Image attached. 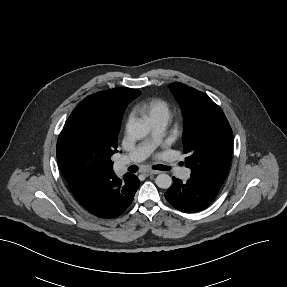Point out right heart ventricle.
I'll use <instances>...</instances> for the list:
<instances>
[{
	"mask_svg": "<svg viewBox=\"0 0 287 287\" xmlns=\"http://www.w3.org/2000/svg\"><path fill=\"white\" fill-rule=\"evenodd\" d=\"M135 111L141 114L150 123L160 121L167 125L172 117L170 104L160 98H151L138 103L135 107Z\"/></svg>",
	"mask_w": 287,
	"mask_h": 287,
	"instance_id": "obj_1",
	"label": "right heart ventricle"
}]
</instances>
